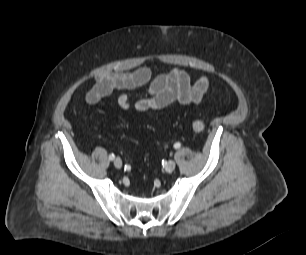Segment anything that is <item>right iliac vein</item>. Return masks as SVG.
Wrapping results in <instances>:
<instances>
[{
	"label": "right iliac vein",
	"mask_w": 306,
	"mask_h": 255,
	"mask_svg": "<svg viewBox=\"0 0 306 255\" xmlns=\"http://www.w3.org/2000/svg\"><path fill=\"white\" fill-rule=\"evenodd\" d=\"M114 166L118 169L122 167V160L119 157L114 159Z\"/></svg>",
	"instance_id": "63e3f726"
}]
</instances>
